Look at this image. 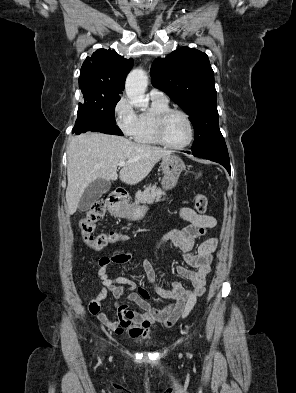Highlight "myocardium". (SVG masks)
<instances>
[{
	"instance_id": "obj_1",
	"label": "myocardium",
	"mask_w": 296,
	"mask_h": 393,
	"mask_svg": "<svg viewBox=\"0 0 296 393\" xmlns=\"http://www.w3.org/2000/svg\"><path fill=\"white\" fill-rule=\"evenodd\" d=\"M178 114L181 115L187 122L188 127H189V138L188 140L181 145H173L169 143L166 138H165V126L168 121V119L174 115ZM156 136L161 145H163L166 148L173 149V150H182L190 146L194 140L195 136V131H194V126L193 122L190 118V116L183 110L180 109H167L166 111L162 112L156 121Z\"/></svg>"
}]
</instances>
